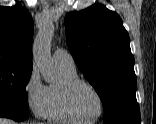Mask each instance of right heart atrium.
Instances as JSON below:
<instances>
[{"label":"right heart atrium","mask_w":156,"mask_h":124,"mask_svg":"<svg viewBox=\"0 0 156 124\" xmlns=\"http://www.w3.org/2000/svg\"><path fill=\"white\" fill-rule=\"evenodd\" d=\"M24 94L30 110L39 118H48V87L43 84L35 68H32L27 77L24 85Z\"/></svg>","instance_id":"d8ad5b80"}]
</instances>
